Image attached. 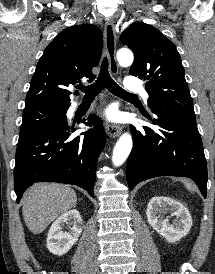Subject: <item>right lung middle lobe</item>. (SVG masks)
Listing matches in <instances>:
<instances>
[{
	"label": "right lung middle lobe",
	"instance_id": "right-lung-middle-lobe-1",
	"mask_svg": "<svg viewBox=\"0 0 215 274\" xmlns=\"http://www.w3.org/2000/svg\"><path fill=\"white\" fill-rule=\"evenodd\" d=\"M67 109L59 106H43L24 110L18 143L38 131L61 122L65 118Z\"/></svg>",
	"mask_w": 215,
	"mask_h": 274
}]
</instances>
